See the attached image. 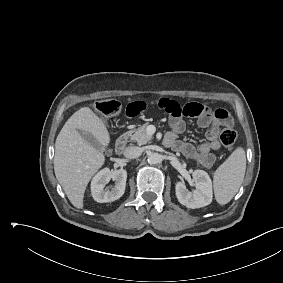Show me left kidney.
Instances as JSON below:
<instances>
[{
    "label": "left kidney",
    "mask_w": 283,
    "mask_h": 283,
    "mask_svg": "<svg viewBox=\"0 0 283 283\" xmlns=\"http://www.w3.org/2000/svg\"><path fill=\"white\" fill-rule=\"evenodd\" d=\"M195 190L189 192L184 181L176 184V196L178 201L187 208L195 209L209 205L212 202V181L207 172L195 170L192 174Z\"/></svg>",
    "instance_id": "left-kidney-1"
}]
</instances>
